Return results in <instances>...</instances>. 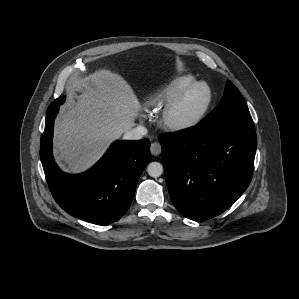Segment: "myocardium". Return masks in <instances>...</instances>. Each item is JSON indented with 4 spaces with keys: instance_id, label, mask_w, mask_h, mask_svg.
<instances>
[{
    "instance_id": "f54148a6",
    "label": "myocardium",
    "mask_w": 299,
    "mask_h": 299,
    "mask_svg": "<svg viewBox=\"0 0 299 299\" xmlns=\"http://www.w3.org/2000/svg\"><path fill=\"white\" fill-rule=\"evenodd\" d=\"M206 89L207 98L200 111L193 117L186 120H177L173 117L174 111L183 101V99L196 88ZM213 101V91L210 85L205 81H195L182 89L174 98H172L162 109L159 124L165 130L171 132H184L199 125L206 117Z\"/></svg>"
}]
</instances>
